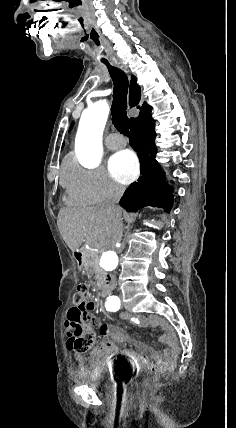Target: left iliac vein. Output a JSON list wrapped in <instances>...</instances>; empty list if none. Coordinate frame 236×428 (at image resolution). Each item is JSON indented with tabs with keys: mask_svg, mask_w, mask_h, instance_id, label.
<instances>
[{
	"mask_svg": "<svg viewBox=\"0 0 236 428\" xmlns=\"http://www.w3.org/2000/svg\"><path fill=\"white\" fill-rule=\"evenodd\" d=\"M119 297L121 298L120 300L122 301V300H123V299H122V298H123V297H122V294H119Z\"/></svg>",
	"mask_w": 236,
	"mask_h": 428,
	"instance_id": "obj_1",
	"label": "left iliac vein"
}]
</instances>
